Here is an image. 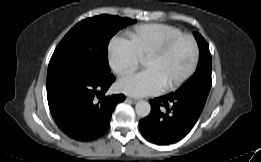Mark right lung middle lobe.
I'll return each mask as SVG.
<instances>
[{
	"label": "right lung middle lobe",
	"instance_id": "1",
	"mask_svg": "<svg viewBox=\"0 0 261 162\" xmlns=\"http://www.w3.org/2000/svg\"><path fill=\"white\" fill-rule=\"evenodd\" d=\"M130 18L99 15L77 23L61 40L48 66L47 79L70 70L96 76L110 75L108 44L112 36L128 24Z\"/></svg>",
	"mask_w": 261,
	"mask_h": 162
}]
</instances>
